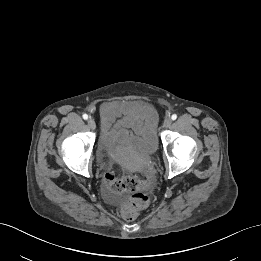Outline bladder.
Wrapping results in <instances>:
<instances>
[{
  "label": "bladder",
  "mask_w": 261,
  "mask_h": 261,
  "mask_svg": "<svg viewBox=\"0 0 261 261\" xmlns=\"http://www.w3.org/2000/svg\"><path fill=\"white\" fill-rule=\"evenodd\" d=\"M99 147L109 157L126 163L131 155H153L157 150V140L150 131L119 130L109 137L103 135Z\"/></svg>",
  "instance_id": "bladder-1"
}]
</instances>
